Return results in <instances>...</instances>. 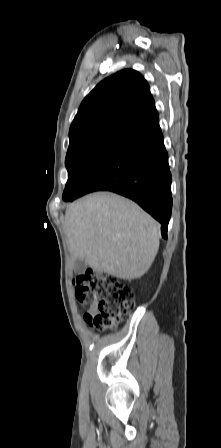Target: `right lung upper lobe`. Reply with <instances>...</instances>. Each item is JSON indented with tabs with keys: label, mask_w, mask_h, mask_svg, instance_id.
<instances>
[{
	"label": "right lung upper lobe",
	"mask_w": 221,
	"mask_h": 448,
	"mask_svg": "<svg viewBox=\"0 0 221 448\" xmlns=\"http://www.w3.org/2000/svg\"><path fill=\"white\" fill-rule=\"evenodd\" d=\"M158 116L150 88L135 70L101 81L82 101L69 130V150L96 142H118Z\"/></svg>",
	"instance_id": "right-lung-upper-lobe-1"
}]
</instances>
